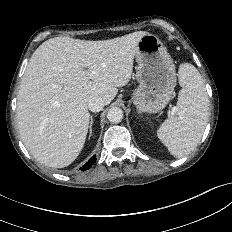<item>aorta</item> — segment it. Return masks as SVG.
I'll list each match as a JSON object with an SVG mask.
<instances>
[{"label": "aorta", "mask_w": 232, "mask_h": 232, "mask_svg": "<svg viewBox=\"0 0 232 232\" xmlns=\"http://www.w3.org/2000/svg\"><path fill=\"white\" fill-rule=\"evenodd\" d=\"M107 118L111 123H119L123 119V111L119 107H112L107 113Z\"/></svg>", "instance_id": "1"}]
</instances>
